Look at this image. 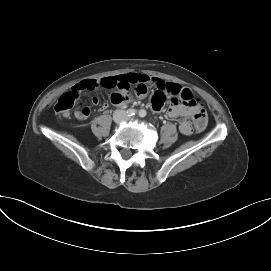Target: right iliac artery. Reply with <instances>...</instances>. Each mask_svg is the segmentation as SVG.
I'll use <instances>...</instances> for the list:
<instances>
[{
  "label": "right iliac artery",
  "instance_id": "1",
  "mask_svg": "<svg viewBox=\"0 0 271 271\" xmlns=\"http://www.w3.org/2000/svg\"><path fill=\"white\" fill-rule=\"evenodd\" d=\"M136 113H137V111H136L135 109H128L127 112H126V114H127L128 116H133V115H135Z\"/></svg>",
  "mask_w": 271,
  "mask_h": 271
}]
</instances>
